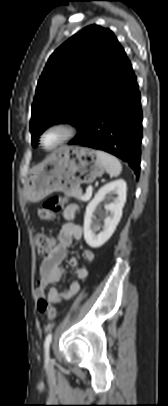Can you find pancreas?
Here are the masks:
<instances>
[{
  "label": "pancreas",
  "instance_id": "1",
  "mask_svg": "<svg viewBox=\"0 0 168 406\" xmlns=\"http://www.w3.org/2000/svg\"><path fill=\"white\" fill-rule=\"evenodd\" d=\"M65 194L68 195V196L74 197V198H76L78 200L84 201L83 197L85 195L82 194V191L80 189H75V190H72V191H69V192H65Z\"/></svg>",
  "mask_w": 168,
  "mask_h": 406
}]
</instances>
